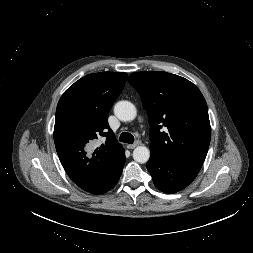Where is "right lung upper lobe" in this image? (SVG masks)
Segmentation results:
<instances>
[{
	"instance_id": "obj_1",
	"label": "right lung upper lobe",
	"mask_w": 253,
	"mask_h": 253,
	"mask_svg": "<svg viewBox=\"0 0 253 253\" xmlns=\"http://www.w3.org/2000/svg\"><path fill=\"white\" fill-rule=\"evenodd\" d=\"M126 79L127 73L86 75L58 102L54 126L57 154L70 179L87 192L102 184L125 154L109 128L108 114ZM101 137H105L103 143L95 148ZM94 144L88 154L85 147Z\"/></svg>"
}]
</instances>
